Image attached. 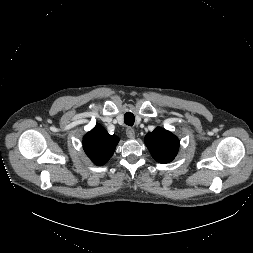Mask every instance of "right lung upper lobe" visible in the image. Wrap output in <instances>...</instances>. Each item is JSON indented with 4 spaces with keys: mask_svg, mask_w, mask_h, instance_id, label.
Instances as JSON below:
<instances>
[{
    "mask_svg": "<svg viewBox=\"0 0 253 253\" xmlns=\"http://www.w3.org/2000/svg\"><path fill=\"white\" fill-rule=\"evenodd\" d=\"M119 138L110 135L97 124L83 138V148L87 156L98 166L104 165L113 155Z\"/></svg>",
    "mask_w": 253,
    "mask_h": 253,
    "instance_id": "obj_1",
    "label": "right lung upper lobe"
}]
</instances>
